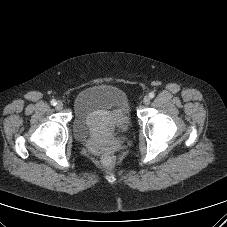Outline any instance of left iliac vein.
I'll list each match as a JSON object with an SVG mask.
<instances>
[{
	"label": "left iliac vein",
	"mask_w": 227,
	"mask_h": 227,
	"mask_svg": "<svg viewBox=\"0 0 227 227\" xmlns=\"http://www.w3.org/2000/svg\"><path fill=\"white\" fill-rule=\"evenodd\" d=\"M143 103H144L145 105H149V104H150V98H149L148 96H145V97L143 98Z\"/></svg>",
	"instance_id": "4c4485c4"
}]
</instances>
